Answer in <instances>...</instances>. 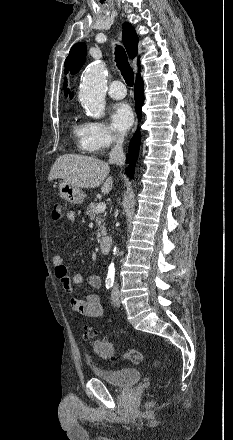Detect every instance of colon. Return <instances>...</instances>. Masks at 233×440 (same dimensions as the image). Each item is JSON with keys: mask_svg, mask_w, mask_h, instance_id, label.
<instances>
[{"mask_svg": "<svg viewBox=\"0 0 233 440\" xmlns=\"http://www.w3.org/2000/svg\"><path fill=\"white\" fill-rule=\"evenodd\" d=\"M62 216H63L62 203H60V202L54 203L53 208H52V218L55 220H58ZM85 337L93 340L94 350L99 357H101L103 359H113L114 358L115 348L111 342H109L107 340L95 339L96 332L89 329V328L85 329ZM122 357L125 360H128L130 362L138 364L144 360V353L139 350L128 349L123 353ZM152 364H153V366H155L157 368L160 367V362L158 360H154L152 362Z\"/></svg>", "mask_w": 233, "mask_h": 440, "instance_id": "5ec220e1", "label": "colon"}]
</instances>
